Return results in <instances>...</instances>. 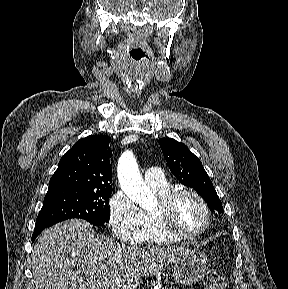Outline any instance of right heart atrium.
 <instances>
[{
	"mask_svg": "<svg viewBox=\"0 0 288 289\" xmlns=\"http://www.w3.org/2000/svg\"><path fill=\"white\" fill-rule=\"evenodd\" d=\"M109 223L114 236L125 243H141L147 231L144 212L122 191L109 200Z\"/></svg>",
	"mask_w": 288,
	"mask_h": 289,
	"instance_id": "obj_1",
	"label": "right heart atrium"
}]
</instances>
